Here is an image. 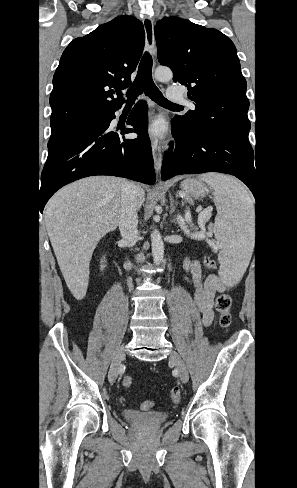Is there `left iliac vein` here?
I'll use <instances>...</instances> for the list:
<instances>
[{
	"mask_svg": "<svg viewBox=\"0 0 297 488\" xmlns=\"http://www.w3.org/2000/svg\"><path fill=\"white\" fill-rule=\"evenodd\" d=\"M169 360L176 366V369L179 373V377L183 383H187L189 379V374L187 367L180 357V355L176 351H171Z\"/></svg>",
	"mask_w": 297,
	"mask_h": 488,
	"instance_id": "4c4485c4",
	"label": "left iliac vein"
}]
</instances>
